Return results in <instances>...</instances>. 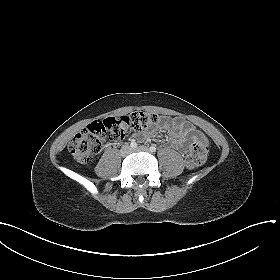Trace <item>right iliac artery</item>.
Returning <instances> with one entry per match:
<instances>
[{
  "label": "right iliac artery",
  "instance_id": "obj_1",
  "mask_svg": "<svg viewBox=\"0 0 280 280\" xmlns=\"http://www.w3.org/2000/svg\"><path fill=\"white\" fill-rule=\"evenodd\" d=\"M130 147L131 148H137V143L135 142V141H132L131 143H130Z\"/></svg>",
  "mask_w": 280,
  "mask_h": 280
}]
</instances>
